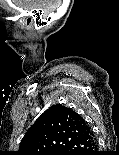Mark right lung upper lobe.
Listing matches in <instances>:
<instances>
[{"label":"right lung upper lobe","instance_id":"1","mask_svg":"<svg viewBox=\"0 0 119 155\" xmlns=\"http://www.w3.org/2000/svg\"><path fill=\"white\" fill-rule=\"evenodd\" d=\"M88 129L84 119L72 109L53 105L25 133L16 155H59Z\"/></svg>","mask_w":119,"mask_h":155}]
</instances>
